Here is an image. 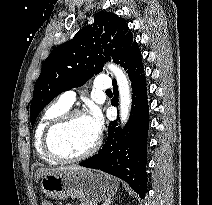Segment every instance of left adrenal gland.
Wrapping results in <instances>:
<instances>
[{
  "mask_svg": "<svg viewBox=\"0 0 212 205\" xmlns=\"http://www.w3.org/2000/svg\"><path fill=\"white\" fill-rule=\"evenodd\" d=\"M111 202H106V203H104V204H102V205H109Z\"/></svg>",
  "mask_w": 212,
  "mask_h": 205,
  "instance_id": "a2214340",
  "label": "left adrenal gland"
}]
</instances>
